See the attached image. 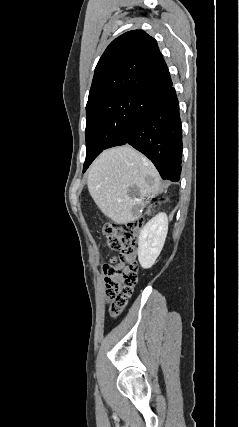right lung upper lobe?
<instances>
[{
  "label": "right lung upper lobe",
  "instance_id": "1",
  "mask_svg": "<svg viewBox=\"0 0 239 427\" xmlns=\"http://www.w3.org/2000/svg\"><path fill=\"white\" fill-rule=\"evenodd\" d=\"M172 84L157 42L142 30L126 32L106 48L95 68L87 106L146 94Z\"/></svg>",
  "mask_w": 239,
  "mask_h": 427
}]
</instances>
